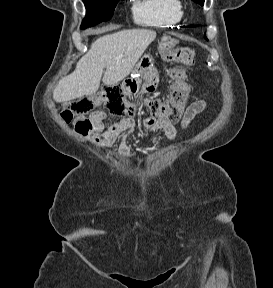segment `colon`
I'll list each match as a JSON object with an SVG mask.
<instances>
[{
	"instance_id": "1",
	"label": "colon",
	"mask_w": 273,
	"mask_h": 288,
	"mask_svg": "<svg viewBox=\"0 0 273 288\" xmlns=\"http://www.w3.org/2000/svg\"><path fill=\"white\" fill-rule=\"evenodd\" d=\"M163 50L166 60L178 62L182 66L171 70L175 85L168 100L162 102L158 98H152L146 107L151 117L176 123L180 120L187 102V69L194 65L196 54L189 47L173 46L170 42H165ZM100 102L112 115L132 116L137 111V107L128 102L119 89L110 88L100 98L81 97L69 102L61 108L60 116L65 122H74L77 133L87 135L94 129L96 121L103 116L102 112H94Z\"/></svg>"
}]
</instances>
